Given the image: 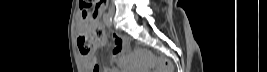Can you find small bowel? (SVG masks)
<instances>
[{
  "label": "small bowel",
  "instance_id": "obj_1",
  "mask_svg": "<svg viewBox=\"0 0 267 72\" xmlns=\"http://www.w3.org/2000/svg\"><path fill=\"white\" fill-rule=\"evenodd\" d=\"M106 8L105 6H99V9ZM113 41H114V48L112 51V57L115 58L120 53L123 47V39L120 35L114 34L113 35ZM83 63L88 66L93 61V56L91 55H83L82 56ZM93 72H99V70H92Z\"/></svg>",
  "mask_w": 267,
  "mask_h": 72
}]
</instances>
